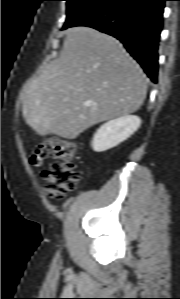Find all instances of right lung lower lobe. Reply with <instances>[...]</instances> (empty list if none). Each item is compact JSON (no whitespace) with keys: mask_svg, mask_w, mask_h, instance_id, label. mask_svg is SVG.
Segmentation results:
<instances>
[{"mask_svg":"<svg viewBox=\"0 0 180 299\" xmlns=\"http://www.w3.org/2000/svg\"><path fill=\"white\" fill-rule=\"evenodd\" d=\"M165 1L103 0L69 27L88 26L114 36L156 83Z\"/></svg>","mask_w":180,"mask_h":299,"instance_id":"98d812e1","label":"right lung lower lobe"}]
</instances>
